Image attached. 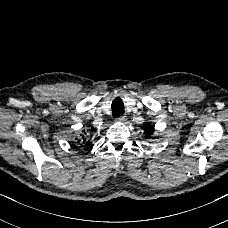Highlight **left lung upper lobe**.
I'll list each match as a JSON object with an SVG mask.
<instances>
[{
    "label": "left lung upper lobe",
    "mask_w": 228,
    "mask_h": 228,
    "mask_svg": "<svg viewBox=\"0 0 228 228\" xmlns=\"http://www.w3.org/2000/svg\"><path fill=\"white\" fill-rule=\"evenodd\" d=\"M154 133V126L151 124H147L144 128V134L146 137H151V135Z\"/></svg>",
    "instance_id": "1"
}]
</instances>
